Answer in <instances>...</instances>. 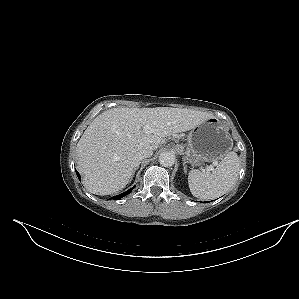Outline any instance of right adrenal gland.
<instances>
[{"mask_svg": "<svg viewBox=\"0 0 299 299\" xmlns=\"http://www.w3.org/2000/svg\"><path fill=\"white\" fill-rule=\"evenodd\" d=\"M137 169H138V166L134 168V173H135V171H136ZM134 173H133V174H134Z\"/></svg>", "mask_w": 299, "mask_h": 299, "instance_id": "1", "label": "right adrenal gland"}]
</instances>
